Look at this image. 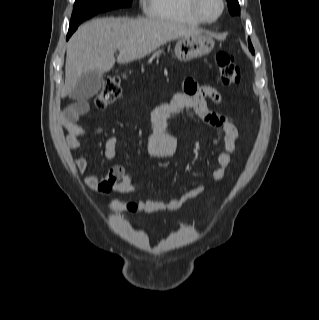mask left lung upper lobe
Listing matches in <instances>:
<instances>
[{"label": "left lung upper lobe", "mask_w": 319, "mask_h": 320, "mask_svg": "<svg viewBox=\"0 0 319 320\" xmlns=\"http://www.w3.org/2000/svg\"><path fill=\"white\" fill-rule=\"evenodd\" d=\"M228 2V9L231 13V15H240V6L238 3V0H227ZM249 50L254 54V49L249 41Z\"/></svg>", "instance_id": "left-lung-upper-lobe-1"}]
</instances>
